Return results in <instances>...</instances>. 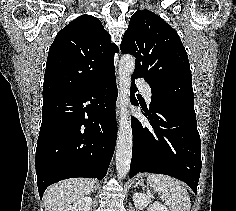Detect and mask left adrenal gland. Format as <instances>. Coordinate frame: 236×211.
Wrapping results in <instances>:
<instances>
[{
    "instance_id": "1",
    "label": "left adrenal gland",
    "mask_w": 236,
    "mask_h": 211,
    "mask_svg": "<svg viewBox=\"0 0 236 211\" xmlns=\"http://www.w3.org/2000/svg\"><path fill=\"white\" fill-rule=\"evenodd\" d=\"M140 185V186H143V182L141 180H139L138 182L135 183V188Z\"/></svg>"
}]
</instances>
